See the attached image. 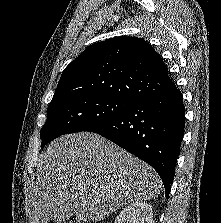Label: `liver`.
I'll return each mask as SVG.
<instances>
[{"label": "liver", "mask_w": 221, "mask_h": 223, "mask_svg": "<svg viewBox=\"0 0 221 223\" xmlns=\"http://www.w3.org/2000/svg\"><path fill=\"white\" fill-rule=\"evenodd\" d=\"M31 223L103 220L120 207L156 198V171L102 136L63 135L38 160Z\"/></svg>", "instance_id": "obj_1"}]
</instances>
